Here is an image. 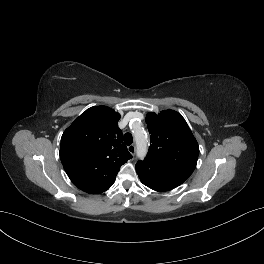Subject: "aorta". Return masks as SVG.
Returning a JSON list of instances; mask_svg holds the SVG:
<instances>
[{"instance_id": "762f6f07", "label": "aorta", "mask_w": 264, "mask_h": 264, "mask_svg": "<svg viewBox=\"0 0 264 264\" xmlns=\"http://www.w3.org/2000/svg\"><path fill=\"white\" fill-rule=\"evenodd\" d=\"M134 136L137 145V156L143 159L148 151L147 134L144 130L139 129L134 132Z\"/></svg>"}]
</instances>
